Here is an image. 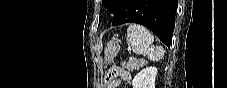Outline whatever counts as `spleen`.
Returning a JSON list of instances; mask_svg holds the SVG:
<instances>
[{
    "label": "spleen",
    "instance_id": "obj_1",
    "mask_svg": "<svg viewBox=\"0 0 227 88\" xmlns=\"http://www.w3.org/2000/svg\"><path fill=\"white\" fill-rule=\"evenodd\" d=\"M126 36L127 42L135 54H146L151 61L163 58L164 48L153 45L154 36L142 25L130 24Z\"/></svg>",
    "mask_w": 227,
    "mask_h": 88
}]
</instances>
